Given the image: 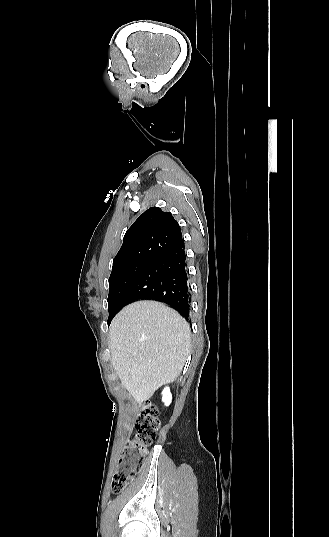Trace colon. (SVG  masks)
Here are the masks:
<instances>
[{"label":"colon","mask_w":329,"mask_h":537,"mask_svg":"<svg viewBox=\"0 0 329 537\" xmlns=\"http://www.w3.org/2000/svg\"><path fill=\"white\" fill-rule=\"evenodd\" d=\"M161 428L157 408L150 402L142 405L141 413L135 422V435L127 442L112 477V491L122 492L137 476L143 466L149 446Z\"/></svg>","instance_id":"5ec220e1"}]
</instances>
